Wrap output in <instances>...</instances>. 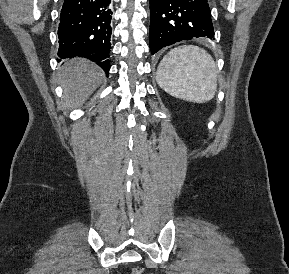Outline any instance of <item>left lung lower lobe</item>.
<instances>
[{"instance_id":"1","label":"left lung lower lobe","mask_w":289,"mask_h":274,"mask_svg":"<svg viewBox=\"0 0 289 274\" xmlns=\"http://www.w3.org/2000/svg\"><path fill=\"white\" fill-rule=\"evenodd\" d=\"M213 38L208 0H150L152 54L182 40Z\"/></svg>"}]
</instances>
